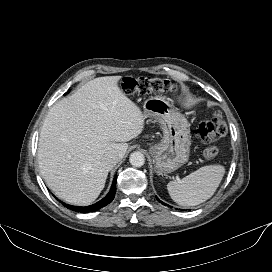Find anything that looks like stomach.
<instances>
[{"instance_id":"obj_1","label":"stomach","mask_w":272,"mask_h":272,"mask_svg":"<svg viewBox=\"0 0 272 272\" xmlns=\"http://www.w3.org/2000/svg\"><path fill=\"white\" fill-rule=\"evenodd\" d=\"M143 117L156 119L163 128L162 141L149 148L155 171L171 173L189 160L190 131L185 118L165 100L151 97L144 102Z\"/></svg>"}]
</instances>
